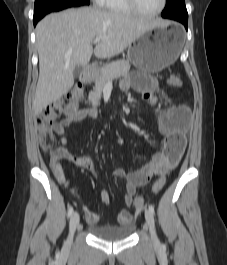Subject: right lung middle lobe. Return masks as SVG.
Segmentation results:
<instances>
[{
    "instance_id": "right-lung-middle-lobe-1",
    "label": "right lung middle lobe",
    "mask_w": 227,
    "mask_h": 265,
    "mask_svg": "<svg viewBox=\"0 0 227 265\" xmlns=\"http://www.w3.org/2000/svg\"><path fill=\"white\" fill-rule=\"evenodd\" d=\"M89 3V0H35L33 19L40 20L52 11H58L74 6L89 5Z\"/></svg>"
}]
</instances>
